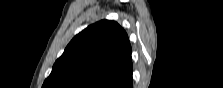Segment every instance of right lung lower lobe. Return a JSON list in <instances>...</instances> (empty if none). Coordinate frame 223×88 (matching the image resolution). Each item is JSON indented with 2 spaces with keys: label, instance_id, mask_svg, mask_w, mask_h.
<instances>
[{
  "label": "right lung lower lobe",
  "instance_id": "right-lung-lower-lobe-1",
  "mask_svg": "<svg viewBox=\"0 0 223 88\" xmlns=\"http://www.w3.org/2000/svg\"><path fill=\"white\" fill-rule=\"evenodd\" d=\"M130 84H131V86L133 87V84H132V81L130 80Z\"/></svg>",
  "mask_w": 223,
  "mask_h": 88
}]
</instances>
